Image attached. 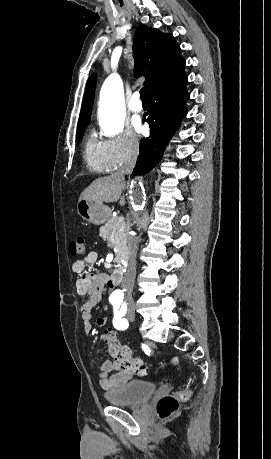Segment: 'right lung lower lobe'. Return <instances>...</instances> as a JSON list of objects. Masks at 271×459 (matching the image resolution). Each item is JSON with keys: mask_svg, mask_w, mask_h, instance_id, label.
<instances>
[{"mask_svg": "<svg viewBox=\"0 0 271 459\" xmlns=\"http://www.w3.org/2000/svg\"><path fill=\"white\" fill-rule=\"evenodd\" d=\"M187 81L183 71L162 81L148 93L150 110L144 115V121L150 125V137L140 142L134 175L148 172L160 161L166 144L186 115Z\"/></svg>", "mask_w": 271, "mask_h": 459, "instance_id": "obj_1", "label": "right lung lower lobe"}]
</instances>
